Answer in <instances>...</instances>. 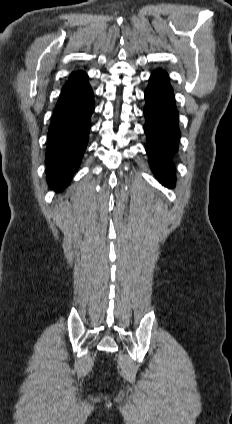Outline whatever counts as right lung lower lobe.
<instances>
[{
  "label": "right lung lower lobe",
  "mask_w": 232,
  "mask_h": 424,
  "mask_svg": "<svg viewBox=\"0 0 232 424\" xmlns=\"http://www.w3.org/2000/svg\"><path fill=\"white\" fill-rule=\"evenodd\" d=\"M94 98L87 75L73 72L63 86L49 127L47 177L61 191L78 168L88 142Z\"/></svg>",
  "instance_id": "obj_1"
}]
</instances>
